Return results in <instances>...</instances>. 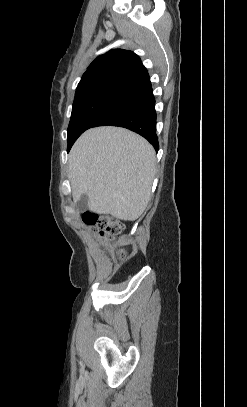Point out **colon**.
Segmentation results:
<instances>
[{
    "label": "colon",
    "mask_w": 247,
    "mask_h": 407,
    "mask_svg": "<svg viewBox=\"0 0 247 407\" xmlns=\"http://www.w3.org/2000/svg\"><path fill=\"white\" fill-rule=\"evenodd\" d=\"M83 220L88 226L96 229L100 236L106 240L121 234L124 228L119 220L107 215L87 213L84 215ZM125 258L124 254L119 255L120 260H125Z\"/></svg>",
    "instance_id": "colon-1"
}]
</instances>
